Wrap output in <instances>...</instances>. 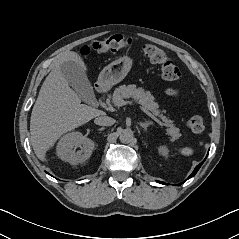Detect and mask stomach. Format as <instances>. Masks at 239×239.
Segmentation results:
<instances>
[{
    "label": "stomach",
    "mask_w": 239,
    "mask_h": 239,
    "mask_svg": "<svg viewBox=\"0 0 239 239\" xmlns=\"http://www.w3.org/2000/svg\"><path fill=\"white\" fill-rule=\"evenodd\" d=\"M133 60L128 56L121 57L107 65L98 77V83L102 88L111 86L122 81L132 67Z\"/></svg>",
    "instance_id": "obj_1"
}]
</instances>
